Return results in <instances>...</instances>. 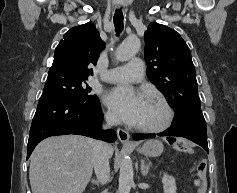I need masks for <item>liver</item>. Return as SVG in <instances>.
<instances>
[{"mask_svg":"<svg viewBox=\"0 0 237 193\" xmlns=\"http://www.w3.org/2000/svg\"><path fill=\"white\" fill-rule=\"evenodd\" d=\"M95 140L79 135L49 137L31 155L32 193H82L93 171ZM110 147V157L113 155Z\"/></svg>","mask_w":237,"mask_h":193,"instance_id":"liver-1","label":"liver"}]
</instances>
